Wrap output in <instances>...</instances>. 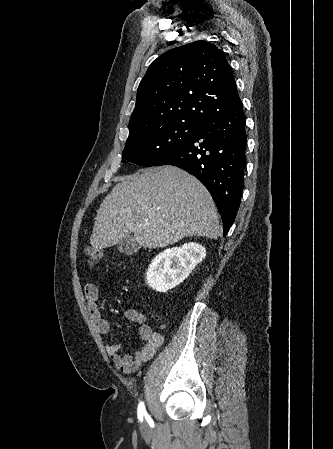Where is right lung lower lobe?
<instances>
[{"label": "right lung lower lobe", "instance_id": "1", "mask_svg": "<svg viewBox=\"0 0 333 449\" xmlns=\"http://www.w3.org/2000/svg\"><path fill=\"white\" fill-rule=\"evenodd\" d=\"M245 121L239 100L203 121L191 138L155 165L177 166L206 186L221 215L224 236L234 222L243 191Z\"/></svg>", "mask_w": 333, "mask_h": 449}]
</instances>
